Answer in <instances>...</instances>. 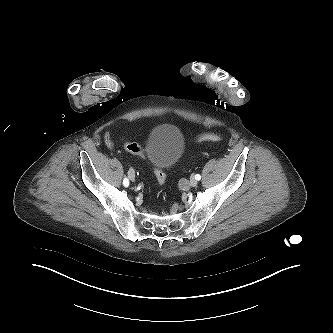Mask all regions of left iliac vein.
I'll return each mask as SVG.
<instances>
[{"mask_svg":"<svg viewBox=\"0 0 333 333\" xmlns=\"http://www.w3.org/2000/svg\"><path fill=\"white\" fill-rule=\"evenodd\" d=\"M197 180H196V178H195V176H191L190 177V185L192 186V187H195V186H197Z\"/></svg>","mask_w":333,"mask_h":333,"instance_id":"left-iliac-vein-1","label":"left iliac vein"}]
</instances>
